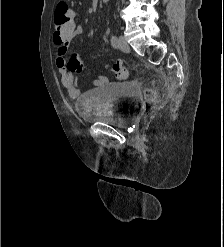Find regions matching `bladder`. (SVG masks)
<instances>
[{
  "label": "bladder",
  "instance_id": "1",
  "mask_svg": "<svg viewBox=\"0 0 224 247\" xmlns=\"http://www.w3.org/2000/svg\"><path fill=\"white\" fill-rule=\"evenodd\" d=\"M140 107V93L131 82L106 83L91 90L83 103L81 117L89 123L117 128L133 125Z\"/></svg>",
  "mask_w": 224,
  "mask_h": 247
}]
</instances>
